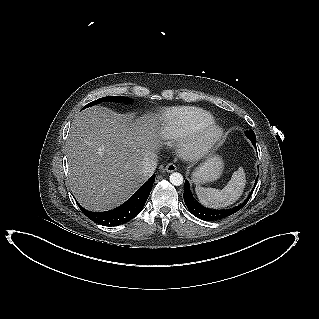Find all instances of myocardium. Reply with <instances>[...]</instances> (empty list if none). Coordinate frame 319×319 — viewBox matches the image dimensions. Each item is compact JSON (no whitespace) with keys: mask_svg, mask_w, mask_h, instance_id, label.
Returning <instances> with one entry per match:
<instances>
[{"mask_svg":"<svg viewBox=\"0 0 319 319\" xmlns=\"http://www.w3.org/2000/svg\"><path fill=\"white\" fill-rule=\"evenodd\" d=\"M222 136L223 129L221 125L214 120L209 121L184 138L180 146V152L186 159H201L212 151Z\"/></svg>","mask_w":319,"mask_h":319,"instance_id":"obj_1","label":"myocardium"}]
</instances>
